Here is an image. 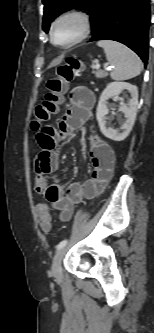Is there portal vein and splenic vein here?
Returning <instances> with one entry per match:
<instances>
[{
    "mask_svg": "<svg viewBox=\"0 0 154 333\" xmlns=\"http://www.w3.org/2000/svg\"><path fill=\"white\" fill-rule=\"evenodd\" d=\"M100 67V65L99 64H97L96 65V68H99ZM104 67H105V69H107V70H111L113 67L112 66H107L106 64L104 65Z\"/></svg>",
    "mask_w": 154,
    "mask_h": 333,
    "instance_id": "obj_1",
    "label": "portal vein and splenic vein"
}]
</instances>
